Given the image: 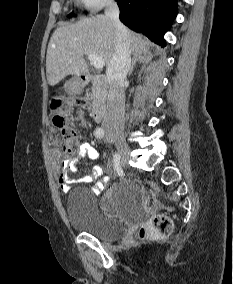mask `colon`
Segmentation results:
<instances>
[{"label":"colon","mask_w":233,"mask_h":284,"mask_svg":"<svg viewBox=\"0 0 233 284\" xmlns=\"http://www.w3.org/2000/svg\"><path fill=\"white\" fill-rule=\"evenodd\" d=\"M91 105L89 97H78L71 102L56 101L53 105L55 110L53 123L60 130L62 136V148L66 154H72L76 151L79 132L69 122L66 112L72 107L88 108ZM172 231V221L166 215H156L148 221L138 232V238L145 237H167Z\"/></svg>","instance_id":"colon-1"}]
</instances>
